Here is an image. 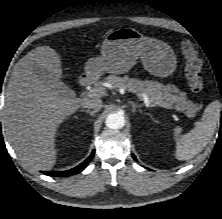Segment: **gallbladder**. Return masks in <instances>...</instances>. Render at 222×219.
I'll use <instances>...</instances> for the list:
<instances>
[{"mask_svg":"<svg viewBox=\"0 0 222 219\" xmlns=\"http://www.w3.org/2000/svg\"><path fill=\"white\" fill-rule=\"evenodd\" d=\"M35 73L39 77V79L46 85H49L54 91L63 94L70 95L71 89L67 87L60 79L46 71L41 67L34 68Z\"/></svg>","mask_w":222,"mask_h":219,"instance_id":"1","label":"gallbladder"}]
</instances>
